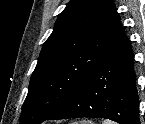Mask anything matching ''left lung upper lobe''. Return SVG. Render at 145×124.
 <instances>
[{"mask_svg": "<svg viewBox=\"0 0 145 124\" xmlns=\"http://www.w3.org/2000/svg\"><path fill=\"white\" fill-rule=\"evenodd\" d=\"M124 38L111 0H71L42 47L20 124H40L54 114Z\"/></svg>", "mask_w": 145, "mask_h": 124, "instance_id": "left-lung-upper-lobe-1", "label": "left lung upper lobe"}]
</instances>
